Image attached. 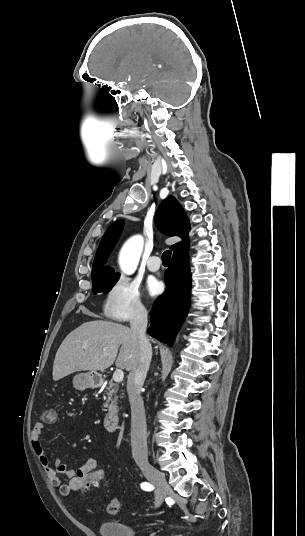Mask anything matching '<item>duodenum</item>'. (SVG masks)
Masks as SVG:
<instances>
[{"label": "duodenum", "mask_w": 305, "mask_h": 536, "mask_svg": "<svg viewBox=\"0 0 305 536\" xmlns=\"http://www.w3.org/2000/svg\"><path fill=\"white\" fill-rule=\"evenodd\" d=\"M93 384L97 387H100L103 385V380L99 377H95L93 380ZM119 417L117 413H115L112 410H109L104 418H103V427L107 432H115L119 429Z\"/></svg>", "instance_id": "410a0bca"}]
</instances>
